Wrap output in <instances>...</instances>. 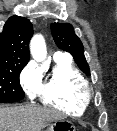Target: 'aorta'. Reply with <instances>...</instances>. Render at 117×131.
<instances>
[{
  "label": "aorta",
  "instance_id": "obj_1",
  "mask_svg": "<svg viewBox=\"0 0 117 131\" xmlns=\"http://www.w3.org/2000/svg\"><path fill=\"white\" fill-rule=\"evenodd\" d=\"M30 53L37 62H43L47 57V49L44 37L40 34L34 35L30 41Z\"/></svg>",
  "mask_w": 117,
  "mask_h": 131
}]
</instances>
